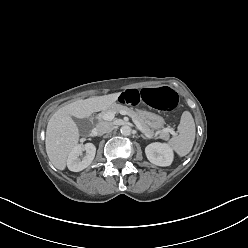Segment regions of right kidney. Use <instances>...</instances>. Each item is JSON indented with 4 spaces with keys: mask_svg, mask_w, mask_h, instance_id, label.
I'll return each instance as SVG.
<instances>
[{
    "mask_svg": "<svg viewBox=\"0 0 248 248\" xmlns=\"http://www.w3.org/2000/svg\"><path fill=\"white\" fill-rule=\"evenodd\" d=\"M85 151L86 155L80 159L79 156ZM96 153V147L92 143L85 145H76L68 155L67 167L70 171L79 172L87 168L93 161Z\"/></svg>",
    "mask_w": 248,
    "mask_h": 248,
    "instance_id": "right-kidney-1",
    "label": "right kidney"
}]
</instances>
